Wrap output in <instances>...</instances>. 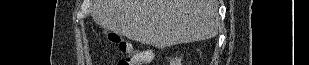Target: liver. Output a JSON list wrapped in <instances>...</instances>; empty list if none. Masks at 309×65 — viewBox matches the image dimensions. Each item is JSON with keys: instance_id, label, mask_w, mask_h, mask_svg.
I'll return each mask as SVG.
<instances>
[{"instance_id": "1", "label": "liver", "mask_w": 309, "mask_h": 65, "mask_svg": "<svg viewBox=\"0 0 309 65\" xmlns=\"http://www.w3.org/2000/svg\"><path fill=\"white\" fill-rule=\"evenodd\" d=\"M91 5L102 28L161 49L218 33V0H91Z\"/></svg>"}]
</instances>
